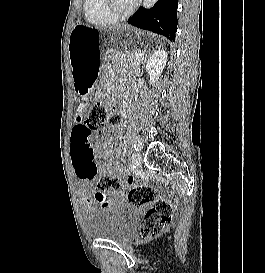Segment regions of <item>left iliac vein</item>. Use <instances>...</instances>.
<instances>
[{"instance_id": "4c4485c4", "label": "left iliac vein", "mask_w": 265, "mask_h": 273, "mask_svg": "<svg viewBox=\"0 0 265 273\" xmlns=\"http://www.w3.org/2000/svg\"><path fill=\"white\" fill-rule=\"evenodd\" d=\"M135 138L139 140V142H140V148L139 149H141L143 147V145H144L143 139L141 137H139V136H136ZM131 160H132V163H133L134 166L140 167L141 164H142V156H141L140 151L134 152L132 154V159Z\"/></svg>"}]
</instances>
